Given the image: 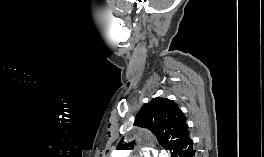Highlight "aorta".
<instances>
[{"label":"aorta","instance_id":"762f6f07","mask_svg":"<svg viewBox=\"0 0 264 157\" xmlns=\"http://www.w3.org/2000/svg\"><path fill=\"white\" fill-rule=\"evenodd\" d=\"M161 157H167V155L166 154L165 155L162 154Z\"/></svg>","mask_w":264,"mask_h":157}]
</instances>
